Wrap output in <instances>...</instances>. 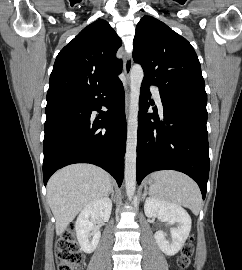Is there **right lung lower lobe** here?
<instances>
[{"instance_id": "obj_1", "label": "right lung lower lobe", "mask_w": 242, "mask_h": 270, "mask_svg": "<svg viewBox=\"0 0 242 270\" xmlns=\"http://www.w3.org/2000/svg\"><path fill=\"white\" fill-rule=\"evenodd\" d=\"M102 105L108 111L95 117L92 112ZM44 131V185L59 168L83 162L102 167L121 186L127 129L119 78L84 95L47 104Z\"/></svg>"}]
</instances>
